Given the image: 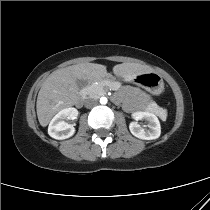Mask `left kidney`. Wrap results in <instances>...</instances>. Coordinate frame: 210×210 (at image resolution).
I'll return each mask as SVG.
<instances>
[{
	"label": "left kidney",
	"mask_w": 210,
	"mask_h": 210,
	"mask_svg": "<svg viewBox=\"0 0 210 210\" xmlns=\"http://www.w3.org/2000/svg\"><path fill=\"white\" fill-rule=\"evenodd\" d=\"M135 120L145 119L148 121V130L142 128L137 122H131L129 125L130 132L137 138L143 140H153L160 137L161 126L157 116L148 111L134 112L132 114Z\"/></svg>",
	"instance_id": "left-kidney-1"
}]
</instances>
